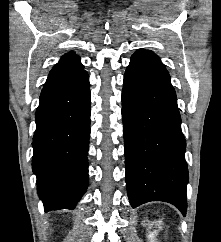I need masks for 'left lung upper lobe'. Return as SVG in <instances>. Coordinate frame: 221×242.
I'll list each match as a JSON object with an SVG mask.
<instances>
[{
    "label": "left lung upper lobe",
    "mask_w": 221,
    "mask_h": 242,
    "mask_svg": "<svg viewBox=\"0 0 221 242\" xmlns=\"http://www.w3.org/2000/svg\"><path fill=\"white\" fill-rule=\"evenodd\" d=\"M129 65H132L147 74H150L157 79L170 82V76L161 63L159 57L152 51L140 49L136 51L132 57Z\"/></svg>",
    "instance_id": "left-lung-upper-lobe-1"
}]
</instances>
